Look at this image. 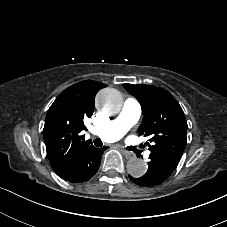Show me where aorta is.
<instances>
[{"label":"aorta","instance_id":"1","mask_svg":"<svg viewBox=\"0 0 227 227\" xmlns=\"http://www.w3.org/2000/svg\"><path fill=\"white\" fill-rule=\"evenodd\" d=\"M96 105L105 115L118 113L123 105V99L116 89L106 88L101 90L96 97ZM128 173L135 177H142L147 171V164L139 158H132L127 163Z\"/></svg>","mask_w":227,"mask_h":227}]
</instances>
